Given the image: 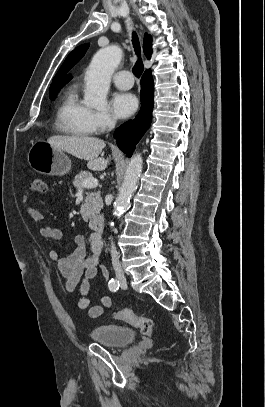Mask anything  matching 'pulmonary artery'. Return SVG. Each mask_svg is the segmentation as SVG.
<instances>
[{
  "mask_svg": "<svg viewBox=\"0 0 265 407\" xmlns=\"http://www.w3.org/2000/svg\"><path fill=\"white\" fill-rule=\"evenodd\" d=\"M114 85L122 90L130 89L133 86L134 80L132 74L128 70H120L114 74L113 78Z\"/></svg>",
  "mask_w": 265,
  "mask_h": 407,
  "instance_id": "1",
  "label": "pulmonary artery"
}]
</instances>
